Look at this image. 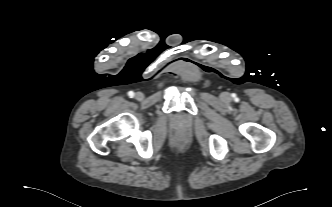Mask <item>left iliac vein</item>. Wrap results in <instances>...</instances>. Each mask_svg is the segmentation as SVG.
<instances>
[{
	"label": "left iliac vein",
	"instance_id": "obj_1",
	"mask_svg": "<svg viewBox=\"0 0 332 207\" xmlns=\"http://www.w3.org/2000/svg\"><path fill=\"white\" fill-rule=\"evenodd\" d=\"M223 98L227 99L228 98V94L227 93H223Z\"/></svg>",
	"mask_w": 332,
	"mask_h": 207
}]
</instances>
